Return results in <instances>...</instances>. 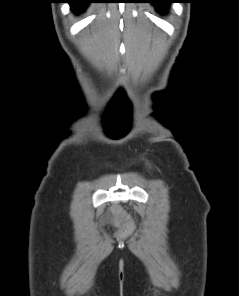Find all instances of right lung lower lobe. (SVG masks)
I'll list each match as a JSON object with an SVG mask.
<instances>
[{"mask_svg":"<svg viewBox=\"0 0 239 296\" xmlns=\"http://www.w3.org/2000/svg\"><path fill=\"white\" fill-rule=\"evenodd\" d=\"M94 0H67V3L71 5V9L75 13L83 12L89 3H93Z\"/></svg>","mask_w":239,"mask_h":296,"instance_id":"obj_1","label":"right lung lower lobe"}]
</instances>
